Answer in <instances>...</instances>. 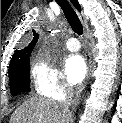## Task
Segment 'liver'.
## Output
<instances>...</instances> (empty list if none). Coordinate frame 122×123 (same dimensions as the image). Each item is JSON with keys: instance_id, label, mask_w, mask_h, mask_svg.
I'll list each match as a JSON object with an SVG mask.
<instances>
[{"instance_id": "6515ba94", "label": "liver", "mask_w": 122, "mask_h": 123, "mask_svg": "<svg viewBox=\"0 0 122 123\" xmlns=\"http://www.w3.org/2000/svg\"><path fill=\"white\" fill-rule=\"evenodd\" d=\"M71 121V114L64 113L58 102L37 96L24 101L10 119V123H70Z\"/></svg>"}]
</instances>
